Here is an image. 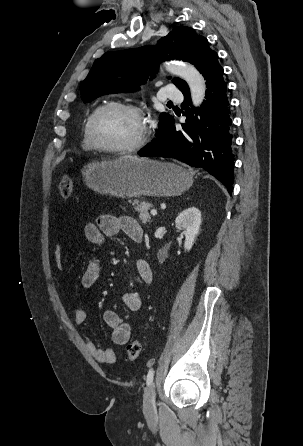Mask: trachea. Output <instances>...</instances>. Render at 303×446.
<instances>
[{"mask_svg":"<svg viewBox=\"0 0 303 446\" xmlns=\"http://www.w3.org/2000/svg\"><path fill=\"white\" fill-rule=\"evenodd\" d=\"M168 104H172V102H171V101H169V102H168Z\"/></svg>","mask_w":303,"mask_h":446,"instance_id":"trachea-1","label":"trachea"}]
</instances>
